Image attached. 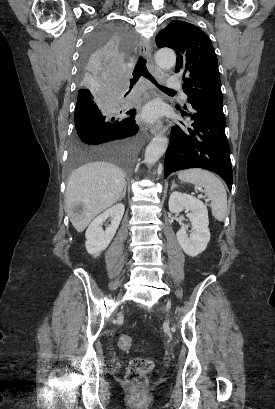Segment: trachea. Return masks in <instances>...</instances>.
<instances>
[{
	"label": "trachea",
	"mask_w": 275,
	"mask_h": 409,
	"mask_svg": "<svg viewBox=\"0 0 275 409\" xmlns=\"http://www.w3.org/2000/svg\"><path fill=\"white\" fill-rule=\"evenodd\" d=\"M143 75V77L148 78L151 82L155 83V85L160 88V90L165 91V92H174L172 88H167L163 87L159 84H157L156 80L152 75L149 73L146 67V60L144 58L140 57L137 65L135 66L134 72H133V79L130 81V90L133 88L135 83L139 80V78ZM129 90V91H130ZM129 93V92H127Z\"/></svg>",
	"instance_id": "1"
}]
</instances>
